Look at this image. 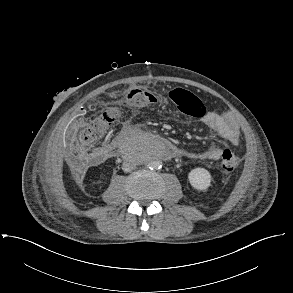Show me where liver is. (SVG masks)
<instances>
[{"label":"liver","mask_w":293,"mask_h":293,"mask_svg":"<svg viewBox=\"0 0 293 293\" xmlns=\"http://www.w3.org/2000/svg\"><path fill=\"white\" fill-rule=\"evenodd\" d=\"M71 155H72L71 152H68V153H67V156L70 157V159L72 158Z\"/></svg>","instance_id":"6515ba94"}]
</instances>
